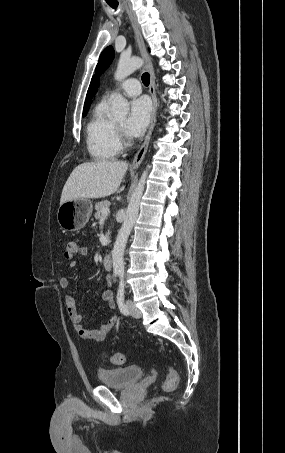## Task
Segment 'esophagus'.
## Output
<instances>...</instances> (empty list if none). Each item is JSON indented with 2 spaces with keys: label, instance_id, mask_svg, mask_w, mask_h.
<instances>
[{
  "label": "esophagus",
  "instance_id": "obj_1",
  "mask_svg": "<svg viewBox=\"0 0 285 453\" xmlns=\"http://www.w3.org/2000/svg\"><path fill=\"white\" fill-rule=\"evenodd\" d=\"M126 10H127L129 19L131 21L132 27H133L135 35H136V39H137V43H138V46H139V49H140V53H141V55H142V57H143V59L145 61L146 69L148 70L149 75H150L149 93L151 95L152 103H153L149 130L147 132V135L145 137V140H144L143 144L141 145L140 149L135 154V156L133 158V161L131 163V166L133 168H138L140 166V164L142 163V161L144 159V156H145V154L147 152V149H148V146H149V142H150V138H151V135H152L155 123H156L157 97H156V90H155V74H154V71H153V66H152L151 59H150V57L148 55L144 40L142 38L141 32H140V30L138 28V25H137L133 15L131 14V12L129 11L128 8H126Z\"/></svg>",
  "mask_w": 285,
  "mask_h": 453
}]
</instances>
